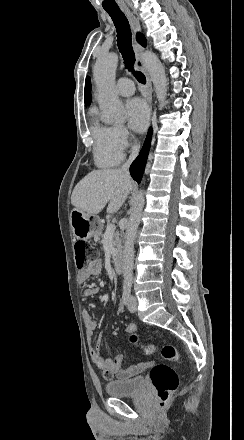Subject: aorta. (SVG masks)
I'll list each match as a JSON object with an SVG mask.
<instances>
[{
  "label": "aorta",
  "mask_w": 244,
  "mask_h": 440,
  "mask_svg": "<svg viewBox=\"0 0 244 440\" xmlns=\"http://www.w3.org/2000/svg\"><path fill=\"white\" fill-rule=\"evenodd\" d=\"M144 65L153 82L157 99L161 106L167 97V78L165 69L156 54L146 51L142 55ZM118 64L117 54H107L98 58L94 68V78L98 88L97 100L107 123L120 124L126 119V111L115 90V75ZM144 193L140 190L134 198L126 229L123 250L124 285L131 286L133 281L134 242L144 207Z\"/></svg>",
  "instance_id": "obj_1"
}]
</instances>
